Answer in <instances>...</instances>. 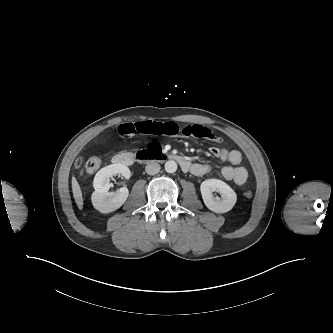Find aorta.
Returning <instances> with one entry per match:
<instances>
[{
  "instance_id": "1",
  "label": "aorta",
  "mask_w": 333,
  "mask_h": 333,
  "mask_svg": "<svg viewBox=\"0 0 333 333\" xmlns=\"http://www.w3.org/2000/svg\"><path fill=\"white\" fill-rule=\"evenodd\" d=\"M177 170V163L173 160H168L165 163V171L168 173H174Z\"/></svg>"
}]
</instances>
